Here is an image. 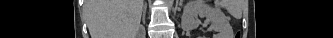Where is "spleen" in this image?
<instances>
[{
  "mask_svg": "<svg viewBox=\"0 0 333 38\" xmlns=\"http://www.w3.org/2000/svg\"><path fill=\"white\" fill-rule=\"evenodd\" d=\"M230 10H231V12L232 13H235V11L231 8V6L229 5V7H228Z\"/></svg>",
  "mask_w": 333,
  "mask_h": 38,
  "instance_id": "obj_1",
  "label": "spleen"
}]
</instances>
